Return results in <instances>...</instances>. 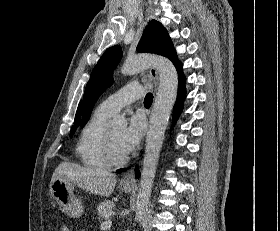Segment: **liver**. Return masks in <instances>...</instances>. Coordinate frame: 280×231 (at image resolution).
<instances>
[{
    "instance_id": "obj_1",
    "label": "liver",
    "mask_w": 280,
    "mask_h": 231,
    "mask_svg": "<svg viewBox=\"0 0 280 231\" xmlns=\"http://www.w3.org/2000/svg\"><path fill=\"white\" fill-rule=\"evenodd\" d=\"M53 179H67L71 183H75L81 189L89 191V193H96V195H111L115 185L116 177L114 173H97L90 167H82L78 163H69V161H62L56 167L51 181Z\"/></svg>"
}]
</instances>
